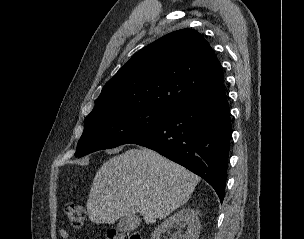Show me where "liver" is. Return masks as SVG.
Returning a JSON list of instances; mask_svg holds the SVG:
<instances>
[{
  "mask_svg": "<svg viewBox=\"0 0 304 239\" xmlns=\"http://www.w3.org/2000/svg\"><path fill=\"white\" fill-rule=\"evenodd\" d=\"M200 178L179 164L147 149H129L97 171L87 200L89 219L112 224L140 213L153 224L183 205Z\"/></svg>",
  "mask_w": 304,
  "mask_h": 239,
  "instance_id": "obj_1",
  "label": "liver"
}]
</instances>
